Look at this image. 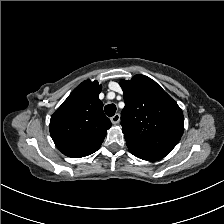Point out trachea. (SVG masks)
Here are the masks:
<instances>
[{
    "label": "trachea",
    "instance_id": "trachea-1",
    "mask_svg": "<svg viewBox=\"0 0 224 224\" xmlns=\"http://www.w3.org/2000/svg\"><path fill=\"white\" fill-rule=\"evenodd\" d=\"M104 110H105V113L111 117L116 112V106L114 104H108L105 106Z\"/></svg>",
    "mask_w": 224,
    "mask_h": 224
}]
</instances>
